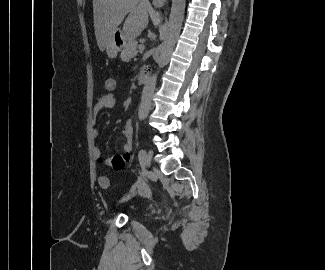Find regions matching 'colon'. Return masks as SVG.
<instances>
[{"label": "colon", "instance_id": "5ec220e1", "mask_svg": "<svg viewBox=\"0 0 325 270\" xmlns=\"http://www.w3.org/2000/svg\"><path fill=\"white\" fill-rule=\"evenodd\" d=\"M104 90L106 91L107 94H114L116 88H117V81L114 77L108 76L104 80ZM99 185L103 189H108L110 187V181L107 177H101L99 179Z\"/></svg>", "mask_w": 325, "mask_h": 270}]
</instances>
